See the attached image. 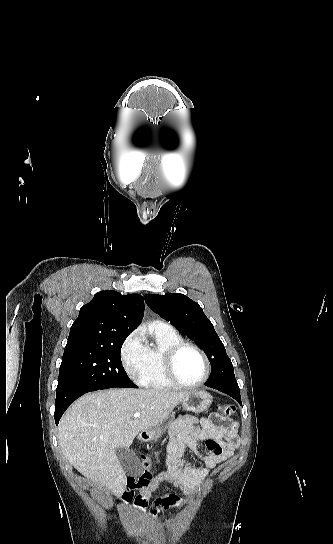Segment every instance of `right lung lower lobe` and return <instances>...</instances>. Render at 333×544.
<instances>
[{
    "label": "right lung lower lobe",
    "mask_w": 333,
    "mask_h": 544,
    "mask_svg": "<svg viewBox=\"0 0 333 544\" xmlns=\"http://www.w3.org/2000/svg\"><path fill=\"white\" fill-rule=\"evenodd\" d=\"M101 389H107V388L83 389L78 386L57 387L55 413H54L56 425H58L61 416L74 400H76L77 398H79L85 393L101 390Z\"/></svg>",
    "instance_id": "right-lung-lower-lobe-1"
}]
</instances>
